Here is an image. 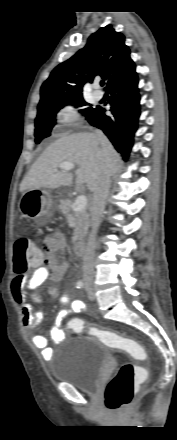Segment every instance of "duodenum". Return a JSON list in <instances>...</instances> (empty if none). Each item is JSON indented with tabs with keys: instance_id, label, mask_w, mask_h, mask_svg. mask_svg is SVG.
<instances>
[{
	"instance_id": "1",
	"label": "duodenum",
	"mask_w": 177,
	"mask_h": 440,
	"mask_svg": "<svg viewBox=\"0 0 177 440\" xmlns=\"http://www.w3.org/2000/svg\"><path fill=\"white\" fill-rule=\"evenodd\" d=\"M74 252L77 256H83L86 252V244L83 240L74 243Z\"/></svg>"
}]
</instances>
